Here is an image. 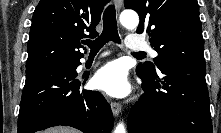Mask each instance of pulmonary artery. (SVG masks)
<instances>
[{
  "label": "pulmonary artery",
  "mask_w": 221,
  "mask_h": 133,
  "mask_svg": "<svg viewBox=\"0 0 221 133\" xmlns=\"http://www.w3.org/2000/svg\"><path fill=\"white\" fill-rule=\"evenodd\" d=\"M126 47L133 51V52H138V51H149L152 57L157 56V52L149 47V45L143 41L139 36L137 35H130L126 41ZM106 54H101L97 58L103 57ZM88 61L87 58H84L82 60V65H84Z\"/></svg>",
  "instance_id": "obj_1"
}]
</instances>
